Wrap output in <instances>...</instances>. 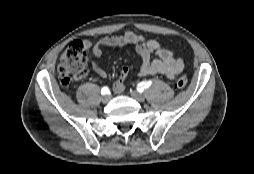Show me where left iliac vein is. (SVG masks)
Listing matches in <instances>:
<instances>
[{
	"label": "left iliac vein",
	"mask_w": 254,
	"mask_h": 174,
	"mask_svg": "<svg viewBox=\"0 0 254 174\" xmlns=\"http://www.w3.org/2000/svg\"><path fill=\"white\" fill-rule=\"evenodd\" d=\"M131 96L137 101V102H144L145 96L142 93L139 92H131Z\"/></svg>",
	"instance_id": "left-iliac-vein-1"
}]
</instances>
